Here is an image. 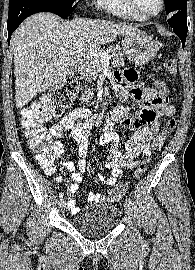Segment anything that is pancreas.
<instances>
[{"mask_svg":"<svg viewBox=\"0 0 195 270\" xmlns=\"http://www.w3.org/2000/svg\"><path fill=\"white\" fill-rule=\"evenodd\" d=\"M105 52L111 56L110 61L113 67L124 66L125 59L123 53L115 49H107ZM104 63L99 60L88 59L81 67L82 78L88 81L96 80L103 69Z\"/></svg>","mask_w":195,"mask_h":270,"instance_id":"cf45deb5","label":"pancreas"}]
</instances>
